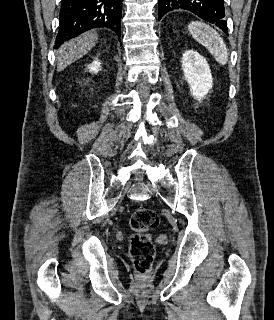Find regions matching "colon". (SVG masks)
Returning <instances> with one entry per match:
<instances>
[{
    "instance_id": "5ec220e1",
    "label": "colon",
    "mask_w": 274,
    "mask_h": 320,
    "mask_svg": "<svg viewBox=\"0 0 274 320\" xmlns=\"http://www.w3.org/2000/svg\"><path fill=\"white\" fill-rule=\"evenodd\" d=\"M158 223L154 210L140 207L133 212L129 219L132 240L130 243V256L135 269L139 273L150 271L155 250L150 240L149 231Z\"/></svg>"
}]
</instances>
